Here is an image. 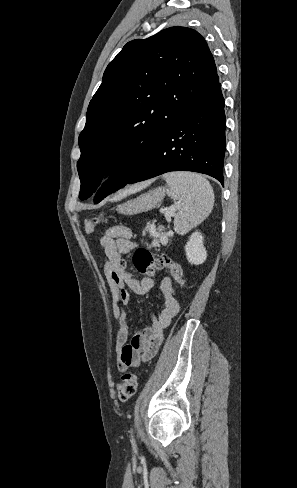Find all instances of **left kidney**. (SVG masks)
Returning a JSON list of instances; mask_svg holds the SVG:
<instances>
[{
  "instance_id": "obj_1",
  "label": "left kidney",
  "mask_w": 297,
  "mask_h": 488,
  "mask_svg": "<svg viewBox=\"0 0 297 488\" xmlns=\"http://www.w3.org/2000/svg\"><path fill=\"white\" fill-rule=\"evenodd\" d=\"M187 260L190 264H202L207 258V252L203 244V236L195 231L191 234L189 241L185 245Z\"/></svg>"
}]
</instances>
